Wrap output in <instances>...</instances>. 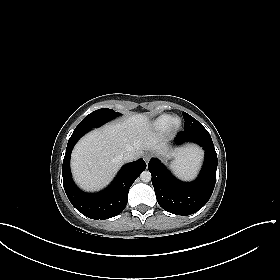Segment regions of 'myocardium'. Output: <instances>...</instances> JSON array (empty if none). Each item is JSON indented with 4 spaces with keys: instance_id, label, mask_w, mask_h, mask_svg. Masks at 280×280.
Masks as SVG:
<instances>
[{
    "instance_id": "myocardium-1",
    "label": "myocardium",
    "mask_w": 280,
    "mask_h": 280,
    "mask_svg": "<svg viewBox=\"0 0 280 280\" xmlns=\"http://www.w3.org/2000/svg\"><path fill=\"white\" fill-rule=\"evenodd\" d=\"M182 126V121L181 118L178 116H173L171 117L168 125H167V130L169 132H177Z\"/></svg>"
}]
</instances>
